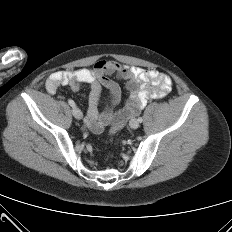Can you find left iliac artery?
<instances>
[{"label":"left iliac artery","mask_w":232,"mask_h":232,"mask_svg":"<svg viewBox=\"0 0 232 232\" xmlns=\"http://www.w3.org/2000/svg\"><path fill=\"white\" fill-rule=\"evenodd\" d=\"M137 120H138V122L141 123V122L143 121V118H142V117H139Z\"/></svg>","instance_id":"1"}]
</instances>
